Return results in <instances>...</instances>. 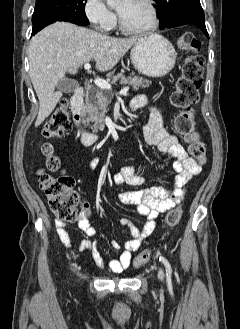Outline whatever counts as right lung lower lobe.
<instances>
[{
	"mask_svg": "<svg viewBox=\"0 0 240 329\" xmlns=\"http://www.w3.org/2000/svg\"><path fill=\"white\" fill-rule=\"evenodd\" d=\"M56 21H59V20L51 18V19H44V20H39V21L35 22L33 24L32 35H35L42 28H44L45 26H47L51 23H54ZM71 23H74V24H77V25H84V24H81V23H78V22H71Z\"/></svg>",
	"mask_w": 240,
	"mask_h": 329,
	"instance_id": "1",
	"label": "right lung lower lobe"
}]
</instances>
